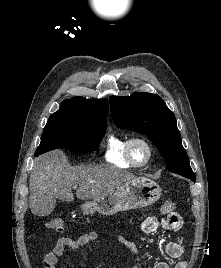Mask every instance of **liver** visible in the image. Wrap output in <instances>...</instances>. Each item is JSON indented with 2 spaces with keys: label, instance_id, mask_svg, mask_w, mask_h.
Wrapping results in <instances>:
<instances>
[{
  "label": "liver",
  "instance_id": "liver-1",
  "mask_svg": "<svg viewBox=\"0 0 221 268\" xmlns=\"http://www.w3.org/2000/svg\"><path fill=\"white\" fill-rule=\"evenodd\" d=\"M134 178L133 174L112 166L71 167L66 155L55 150L34 161L29 179V206L33 214L46 216L54 210L56 199L74 200L73 188L78 187V199H96Z\"/></svg>",
  "mask_w": 221,
  "mask_h": 268
}]
</instances>
